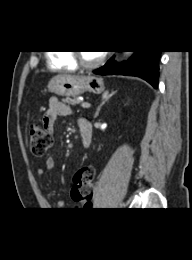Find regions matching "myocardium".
Masks as SVG:
<instances>
[{
    "mask_svg": "<svg viewBox=\"0 0 192 260\" xmlns=\"http://www.w3.org/2000/svg\"><path fill=\"white\" fill-rule=\"evenodd\" d=\"M71 53V56L73 58V60L76 62V64L82 68H85V69H93V68H96L97 66H99L105 59V55L104 54H100V56L95 60V61H92V62H88L86 61L81 52L77 51V50H74Z\"/></svg>",
    "mask_w": 192,
    "mask_h": 260,
    "instance_id": "f54148a6",
    "label": "myocardium"
}]
</instances>
